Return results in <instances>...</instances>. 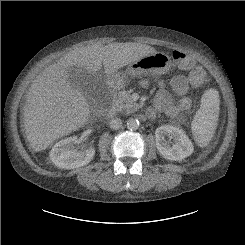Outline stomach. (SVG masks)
<instances>
[{
    "label": "stomach",
    "instance_id": "stomach-1",
    "mask_svg": "<svg viewBox=\"0 0 245 245\" xmlns=\"http://www.w3.org/2000/svg\"><path fill=\"white\" fill-rule=\"evenodd\" d=\"M170 57L163 52H156L147 55L140 60L133 62L125 71H116L109 74L112 81L125 84L129 78L144 74H165L171 68Z\"/></svg>",
    "mask_w": 245,
    "mask_h": 245
}]
</instances>
